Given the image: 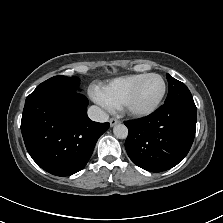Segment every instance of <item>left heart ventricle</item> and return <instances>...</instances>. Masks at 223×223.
<instances>
[{
	"label": "left heart ventricle",
	"instance_id": "1",
	"mask_svg": "<svg viewBox=\"0 0 223 223\" xmlns=\"http://www.w3.org/2000/svg\"><path fill=\"white\" fill-rule=\"evenodd\" d=\"M161 91L162 82L159 77L150 76L145 78L131 102V107L137 110L150 108L158 99Z\"/></svg>",
	"mask_w": 223,
	"mask_h": 223
}]
</instances>
